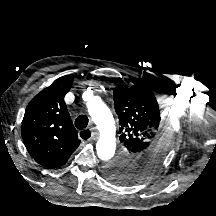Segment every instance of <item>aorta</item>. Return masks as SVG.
Listing matches in <instances>:
<instances>
[{
  "mask_svg": "<svg viewBox=\"0 0 216 216\" xmlns=\"http://www.w3.org/2000/svg\"><path fill=\"white\" fill-rule=\"evenodd\" d=\"M87 107L100 132V139L96 144L97 155L101 160L109 161L114 156L116 149V127L112 114L98 98L89 101Z\"/></svg>",
  "mask_w": 216,
  "mask_h": 216,
  "instance_id": "aorta-1",
  "label": "aorta"
}]
</instances>
